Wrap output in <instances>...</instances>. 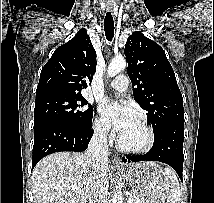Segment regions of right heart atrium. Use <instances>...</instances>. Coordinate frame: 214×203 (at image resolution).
<instances>
[{
    "instance_id": "obj_1",
    "label": "right heart atrium",
    "mask_w": 214,
    "mask_h": 203,
    "mask_svg": "<svg viewBox=\"0 0 214 203\" xmlns=\"http://www.w3.org/2000/svg\"><path fill=\"white\" fill-rule=\"evenodd\" d=\"M94 133L99 138H108L110 136V127L108 123L100 118L96 117L93 122Z\"/></svg>"
}]
</instances>
